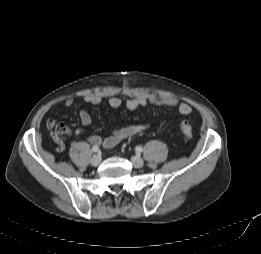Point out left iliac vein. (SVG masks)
<instances>
[{
    "instance_id": "4c4485c4",
    "label": "left iliac vein",
    "mask_w": 261,
    "mask_h": 254,
    "mask_svg": "<svg viewBox=\"0 0 261 254\" xmlns=\"http://www.w3.org/2000/svg\"><path fill=\"white\" fill-rule=\"evenodd\" d=\"M131 162L135 168H141L144 165V161L139 156H133Z\"/></svg>"
}]
</instances>
